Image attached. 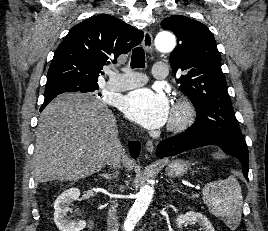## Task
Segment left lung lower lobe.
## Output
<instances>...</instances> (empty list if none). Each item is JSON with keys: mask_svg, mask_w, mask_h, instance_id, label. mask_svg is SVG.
<instances>
[{"mask_svg": "<svg viewBox=\"0 0 268 231\" xmlns=\"http://www.w3.org/2000/svg\"><path fill=\"white\" fill-rule=\"evenodd\" d=\"M206 145H217L221 147L225 153L236 157L241 162L243 174L248 180V148H242L233 142L223 141L210 135L186 130L183 133L161 141L157 147L156 155L159 158H163Z\"/></svg>", "mask_w": 268, "mask_h": 231, "instance_id": "0a47b994", "label": "left lung lower lobe"}]
</instances>
